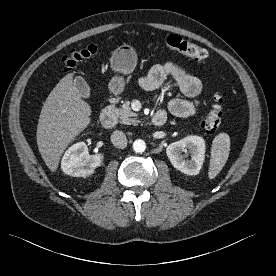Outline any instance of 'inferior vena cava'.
I'll use <instances>...</instances> for the list:
<instances>
[{"label": "inferior vena cava", "mask_w": 276, "mask_h": 276, "mask_svg": "<svg viewBox=\"0 0 276 276\" xmlns=\"http://www.w3.org/2000/svg\"><path fill=\"white\" fill-rule=\"evenodd\" d=\"M111 142L117 148H125L127 145L126 135L122 131L116 130L111 134Z\"/></svg>", "instance_id": "inferior-vena-cava-1"}]
</instances>
